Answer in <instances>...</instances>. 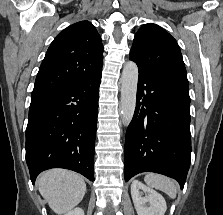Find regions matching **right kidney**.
Wrapping results in <instances>:
<instances>
[{
  "label": "right kidney",
  "instance_id": "ca27d5eb",
  "mask_svg": "<svg viewBox=\"0 0 223 215\" xmlns=\"http://www.w3.org/2000/svg\"><path fill=\"white\" fill-rule=\"evenodd\" d=\"M65 215H84V211L82 207H74V209H70V211H67Z\"/></svg>",
  "mask_w": 223,
  "mask_h": 215
}]
</instances>
